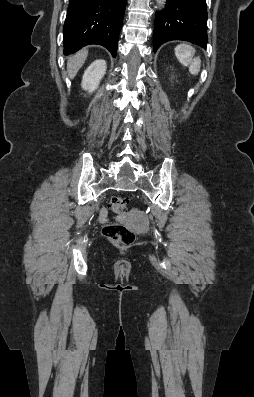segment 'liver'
Listing matches in <instances>:
<instances>
[{
	"instance_id": "obj_1",
	"label": "liver",
	"mask_w": 254,
	"mask_h": 397,
	"mask_svg": "<svg viewBox=\"0 0 254 397\" xmlns=\"http://www.w3.org/2000/svg\"><path fill=\"white\" fill-rule=\"evenodd\" d=\"M87 55H88V51L86 49H84V50H81L80 52L76 53L75 55L71 56L68 59L67 71H68V75L71 79H73L76 76L77 72L84 64V62L87 58Z\"/></svg>"
}]
</instances>
